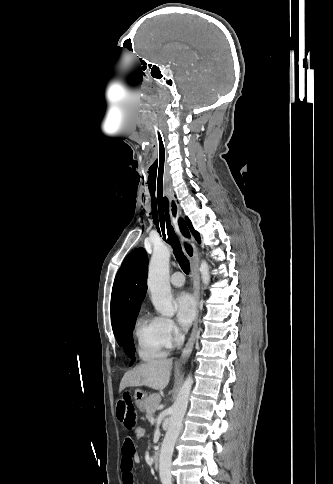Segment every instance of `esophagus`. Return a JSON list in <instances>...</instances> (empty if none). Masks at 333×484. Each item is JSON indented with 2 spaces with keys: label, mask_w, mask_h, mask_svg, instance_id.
Returning a JSON list of instances; mask_svg holds the SVG:
<instances>
[{
  "label": "esophagus",
  "mask_w": 333,
  "mask_h": 484,
  "mask_svg": "<svg viewBox=\"0 0 333 484\" xmlns=\"http://www.w3.org/2000/svg\"><path fill=\"white\" fill-rule=\"evenodd\" d=\"M169 200V212L171 216L172 223L174 228L180 238L183 250L188 257L191 265V277L193 280V294L194 299L196 302V319L193 324L191 335L186 343L180 358L177 360V364L181 365L187 362L189 359L194 343L196 340V336L198 333V317H199V301H200V279H199V271H198V251L197 247L193 240L185 237L178 226V219L182 215V211L179 207V204L173 194L167 196Z\"/></svg>",
  "instance_id": "34e87169"
}]
</instances>
